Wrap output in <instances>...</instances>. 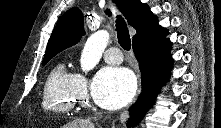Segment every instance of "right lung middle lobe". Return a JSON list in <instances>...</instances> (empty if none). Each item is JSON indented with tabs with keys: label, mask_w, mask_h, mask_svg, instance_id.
I'll return each instance as SVG.
<instances>
[{
	"label": "right lung middle lobe",
	"mask_w": 221,
	"mask_h": 128,
	"mask_svg": "<svg viewBox=\"0 0 221 128\" xmlns=\"http://www.w3.org/2000/svg\"><path fill=\"white\" fill-rule=\"evenodd\" d=\"M53 56L44 57L43 65H45Z\"/></svg>",
	"instance_id": "obj_1"
}]
</instances>
